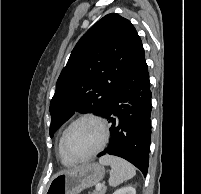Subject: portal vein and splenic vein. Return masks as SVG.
Masks as SVG:
<instances>
[{"label": "portal vein and splenic vein", "mask_w": 201, "mask_h": 194, "mask_svg": "<svg viewBox=\"0 0 201 194\" xmlns=\"http://www.w3.org/2000/svg\"><path fill=\"white\" fill-rule=\"evenodd\" d=\"M101 187H102V185H101V184H97V185H96V190H100V189H101Z\"/></svg>", "instance_id": "obj_1"}]
</instances>
